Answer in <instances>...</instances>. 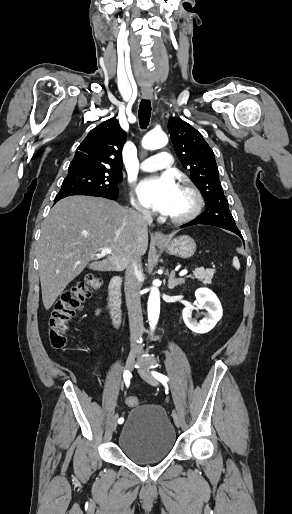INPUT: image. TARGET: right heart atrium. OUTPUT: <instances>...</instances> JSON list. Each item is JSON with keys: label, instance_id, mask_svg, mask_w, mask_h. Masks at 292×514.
I'll return each mask as SVG.
<instances>
[{"label": "right heart atrium", "instance_id": "d8ad5b80", "mask_svg": "<svg viewBox=\"0 0 292 514\" xmlns=\"http://www.w3.org/2000/svg\"><path fill=\"white\" fill-rule=\"evenodd\" d=\"M133 204L137 209H142V211H143L144 207L139 200L133 199Z\"/></svg>", "mask_w": 292, "mask_h": 514}]
</instances>
